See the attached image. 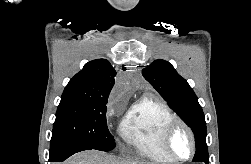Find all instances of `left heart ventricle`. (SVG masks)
<instances>
[{
	"label": "left heart ventricle",
	"mask_w": 251,
	"mask_h": 164,
	"mask_svg": "<svg viewBox=\"0 0 251 164\" xmlns=\"http://www.w3.org/2000/svg\"><path fill=\"white\" fill-rule=\"evenodd\" d=\"M170 148L174 155L181 158H186L191 152V141L182 128H178L173 134L170 141Z\"/></svg>",
	"instance_id": "1"
}]
</instances>
